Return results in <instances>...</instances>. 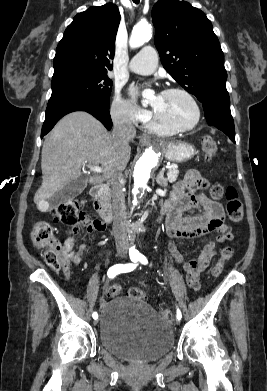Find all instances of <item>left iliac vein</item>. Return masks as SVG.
<instances>
[{
	"mask_svg": "<svg viewBox=\"0 0 267 391\" xmlns=\"http://www.w3.org/2000/svg\"><path fill=\"white\" fill-rule=\"evenodd\" d=\"M176 324H177V325L180 324V320H179V319H176Z\"/></svg>",
	"mask_w": 267,
	"mask_h": 391,
	"instance_id": "obj_1",
	"label": "left iliac vein"
}]
</instances>
